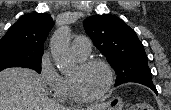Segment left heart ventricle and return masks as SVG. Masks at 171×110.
Wrapping results in <instances>:
<instances>
[{"label": "left heart ventricle", "instance_id": "left-heart-ventricle-1", "mask_svg": "<svg viewBox=\"0 0 171 110\" xmlns=\"http://www.w3.org/2000/svg\"><path fill=\"white\" fill-rule=\"evenodd\" d=\"M69 77L86 96H94L102 92L108 81V74L100 65H93L84 70L77 66Z\"/></svg>", "mask_w": 171, "mask_h": 110}]
</instances>
